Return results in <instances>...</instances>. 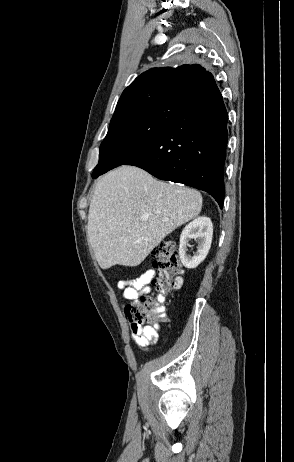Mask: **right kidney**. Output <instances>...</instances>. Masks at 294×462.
<instances>
[{
    "mask_svg": "<svg viewBox=\"0 0 294 462\" xmlns=\"http://www.w3.org/2000/svg\"><path fill=\"white\" fill-rule=\"evenodd\" d=\"M212 235L213 224L208 217L200 216L185 226L180 235L179 256L186 268L194 269L204 261L211 247ZM190 239H197L198 242L197 252L193 257L186 254Z\"/></svg>",
    "mask_w": 294,
    "mask_h": 462,
    "instance_id": "right-kidney-1",
    "label": "right kidney"
}]
</instances>
